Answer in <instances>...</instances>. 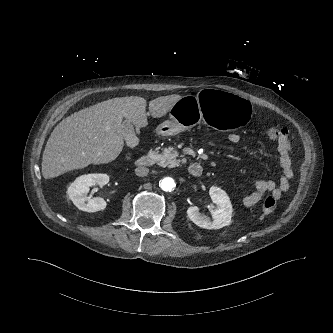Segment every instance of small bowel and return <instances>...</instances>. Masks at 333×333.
I'll list each match as a JSON object with an SVG mask.
<instances>
[{
	"label": "small bowel",
	"instance_id": "obj_1",
	"mask_svg": "<svg viewBox=\"0 0 333 333\" xmlns=\"http://www.w3.org/2000/svg\"><path fill=\"white\" fill-rule=\"evenodd\" d=\"M277 130L278 136L271 140L275 141L277 144L279 164L282 170L280 181L276 184L271 179L257 180L254 184V189L243 195V203L247 207L254 206L261 202L267 194H271L276 199H279L282 193L290 188L291 179L293 178L292 157L294 156V149L288 131L285 129ZM228 140L231 144H237L240 141V136L237 133H230Z\"/></svg>",
	"mask_w": 333,
	"mask_h": 333
}]
</instances>
